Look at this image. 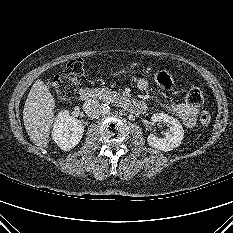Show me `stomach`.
Instances as JSON below:
<instances>
[{
  "mask_svg": "<svg viewBox=\"0 0 233 233\" xmlns=\"http://www.w3.org/2000/svg\"><path fill=\"white\" fill-rule=\"evenodd\" d=\"M127 71L126 70H121V71H118L117 73H116V75H121V74H124V73H126Z\"/></svg>",
  "mask_w": 233,
  "mask_h": 233,
  "instance_id": "1",
  "label": "stomach"
}]
</instances>
